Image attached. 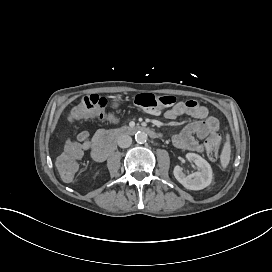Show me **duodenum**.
<instances>
[{"instance_id":"410a0bca","label":"duodenum","mask_w":272,"mask_h":272,"mask_svg":"<svg viewBox=\"0 0 272 272\" xmlns=\"http://www.w3.org/2000/svg\"><path fill=\"white\" fill-rule=\"evenodd\" d=\"M137 132H145L153 138L159 137V134L154 130L140 125L102 131L97 145L92 149V158L97 162H103L114 150L116 140L119 137L127 134H135Z\"/></svg>"}]
</instances>
